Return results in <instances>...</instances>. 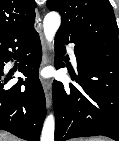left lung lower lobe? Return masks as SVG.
Instances as JSON below:
<instances>
[{
	"label": "left lung lower lobe",
	"instance_id": "0a47b994",
	"mask_svg": "<svg viewBox=\"0 0 119 141\" xmlns=\"http://www.w3.org/2000/svg\"><path fill=\"white\" fill-rule=\"evenodd\" d=\"M74 43L80 87L53 82L55 141L103 135L119 141V57L92 54L74 36L57 32L55 67H64V44Z\"/></svg>",
	"mask_w": 119,
	"mask_h": 141
}]
</instances>
